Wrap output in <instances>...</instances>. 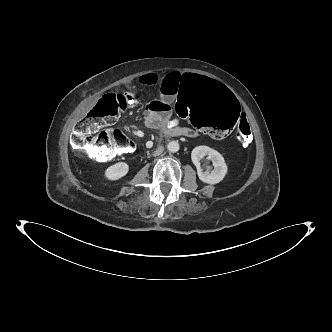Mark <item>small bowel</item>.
<instances>
[{
    "mask_svg": "<svg viewBox=\"0 0 332 332\" xmlns=\"http://www.w3.org/2000/svg\"><path fill=\"white\" fill-rule=\"evenodd\" d=\"M181 79L180 73L169 72L166 75H159L156 73L146 74L142 76L140 83L148 86H158L161 91V97L157 100L149 102L145 110V124L149 128L160 129L166 126H176V122L171 115V102L175 97V89L177 83ZM136 102L135 97L131 96L130 104ZM241 111L239 115V120ZM238 120V121H239ZM185 135L188 137H196L198 133L190 128H182ZM230 135V133L228 134ZM228 135L222 137H213V139H223Z\"/></svg>",
    "mask_w": 332,
    "mask_h": 332,
    "instance_id": "c3829d8e",
    "label": "small bowel"
}]
</instances>
